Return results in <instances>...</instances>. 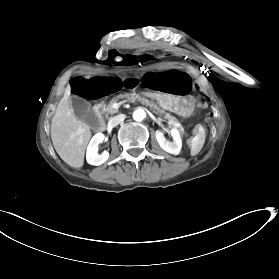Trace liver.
<instances>
[{
	"label": "liver",
	"instance_id": "liver-1",
	"mask_svg": "<svg viewBox=\"0 0 279 279\" xmlns=\"http://www.w3.org/2000/svg\"><path fill=\"white\" fill-rule=\"evenodd\" d=\"M67 90L58 103L51 123V139L61 159L71 167L79 168L84 163V154L91 138L89 126L77 120L69 103Z\"/></svg>",
	"mask_w": 279,
	"mask_h": 279
}]
</instances>
